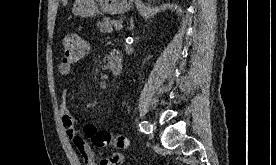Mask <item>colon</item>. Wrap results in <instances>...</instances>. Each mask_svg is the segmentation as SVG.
I'll use <instances>...</instances> for the list:
<instances>
[{
  "label": "colon",
  "mask_w": 276,
  "mask_h": 165,
  "mask_svg": "<svg viewBox=\"0 0 276 165\" xmlns=\"http://www.w3.org/2000/svg\"><path fill=\"white\" fill-rule=\"evenodd\" d=\"M64 56L63 63L74 65L79 63L86 54V43L76 33H68L63 39ZM85 134L94 145L98 147L109 146L116 150L126 149L129 145L127 137L120 134H111L107 131L98 130L94 125L87 124Z\"/></svg>",
  "instance_id": "obj_1"
}]
</instances>
